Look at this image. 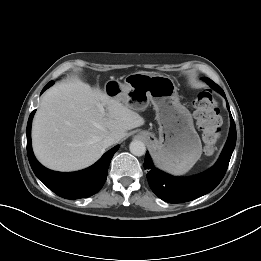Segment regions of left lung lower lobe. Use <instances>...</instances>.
Wrapping results in <instances>:
<instances>
[{"instance_id":"left-lung-lower-lobe-1","label":"left lung lower lobe","mask_w":261,"mask_h":261,"mask_svg":"<svg viewBox=\"0 0 261 261\" xmlns=\"http://www.w3.org/2000/svg\"><path fill=\"white\" fill-rule=\"evenodd\" d=\"M212 88L225 97L223 90L209 78H203ZM227 108L229 104L227 102ZM231 127L228 140L216 164L206 172L188 178H178L156 169L147 153L144 168L152 191L168 203H183L197 199L212 191L222 180L236 144V126L230 113Z\"/></svg>"}]
</instances>
